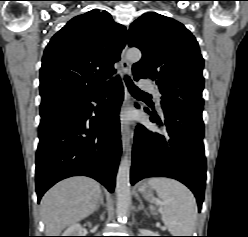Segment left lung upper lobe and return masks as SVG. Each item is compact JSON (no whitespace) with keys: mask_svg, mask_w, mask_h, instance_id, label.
<instances>
[{"mask_svg":"<svg viewBox=\"0 0 248 237\" xmlns=\"http://www.w3.org/2000/svg\"><path fill=\"white\" fill-rule=\"evenodd\" d=\"M128 45L142 51V59L132 67L134 79L154 80L163 108L180 102L203 105L204 61L195 37L183 24L146 13L131 24Z\"/></svg>","mask_w":248,"mask_h":237,"instance_id":"1","label":"left lung upper lobe"}]
</instances>
